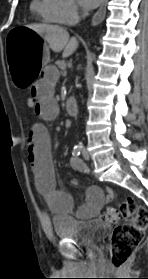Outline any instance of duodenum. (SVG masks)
Wrapping results in <instances>:
<instances>
[{"label": "duodenum", "instance_id": "410a0bca", "mask_svg": "<svg viewBox=\"0 0 148 279\" xmlns=\"http://www.w3.org/2000/svg\"><path fill=\"white\" fill-rule=\"evenodd\" d=\"M66 109L67 112L71 115V116H77L78 115V102L75 98L72 97H68L66 99Z\"/></svg>", "mask_w": 148, "mask_h": 279}]
</instances>
